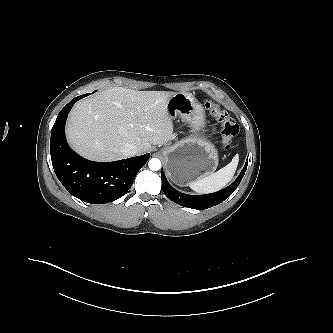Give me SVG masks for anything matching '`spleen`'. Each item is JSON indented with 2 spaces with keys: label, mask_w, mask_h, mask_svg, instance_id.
<instances>
[{
  "label": "spleen",
  "mask_w": 333,
  "mask_h": 333,
  "mask_svg": "<svg viewBox=\"0 0 333 333\" xmlns=\"http://www.w3.org/2000/svg\"><path fill=\"white\" fill-rule=\"evenodd\" d=\"M239 162L236 154L232 161L215 173L189 183V187L198 193H212L225 187L233 178Z\"/></svg>",
  "instance_id": "1"
}]
</instances>
